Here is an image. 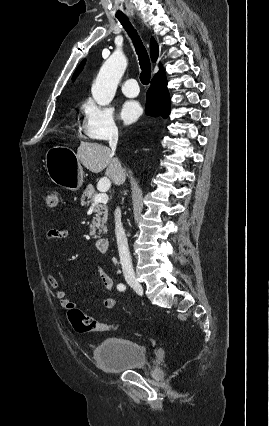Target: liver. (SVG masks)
Wrapping results in <instances>:
<instances>
[{"mask_svg": "<svg viewBox=\"0 0 269 426\" xmlns=\"http://www.w3.org/2000/svg\"><path fill=\"white\" fill-rule=\"evenodd\" d=\"M113 155L110 148L95 142L82 141L77 149V158L84 167L93 173H99L106 168L105 176L115 185H121L126 180V173L120 161Z\"/></svg>", "mask_w": 269, "mask_h": 426, "instance_id": "1", "label": "liver"}]
</instances>
